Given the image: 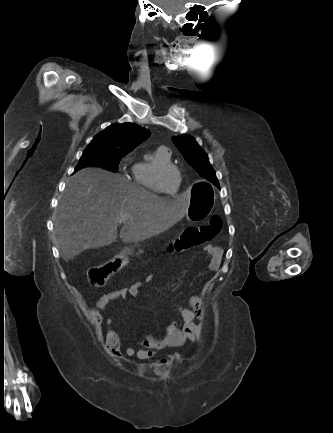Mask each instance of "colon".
<instances>
[{"label":"colon","mask_w":333,"mask_h":433,"mask_svg":"<svg viewBox=\"0 0 333 433\" xmlns=\"http://www.w3.org/2000/svg\"><path fill=\"white\" fill-rule=\"evenodd\" d=\"M221 228L222 221L220 217L214 215L205 224L186 228L181 237L170 236L168 239L170 245H165L163 250L165 252H172L174 247L176 250H183L204 245L212 241L219 234ZM124 265L129 268L132 264L129 261L125 264L122 258L113 256L109 261L91 268L88 272L90 284L93 286L103 284Z\"/></svg>","instance_id":"colon-1"}]
</instances>
